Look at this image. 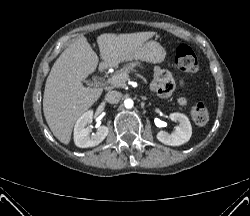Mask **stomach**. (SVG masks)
Here are the masks:
<instances>
[{"mask_svg":"<svg viewBox=\"0 0 250 216\" xmlns=\"http://www.w3.org/2000/svg\"><path fill=\"white\" fill-rule=\"evenodd\" d=\"M166 50L156 41H146L137 49L120 56L113 64L131 60H142L154 64L164 62Z\"/></svg>","mask_w":250,"mask_h":216,"instance_id":"stomach-1","label":"stomach"}]
</instances>
